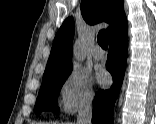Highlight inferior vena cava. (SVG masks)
<instances>
[{"label": "inferior vena cava", "mask_w": 156, "mask_h": 124, "mask_svg": "<svg viewBox=\"0 0 156 124\" xmlns=\"http://www.w3.org/2000/svg\"><path fill=\"white\" fill-rule=\"evenodd\" d=\"M92 102L93 96H89L85 99L78 111L77 123L76 124H91L92 123Z\"/></svg>", "instance_id": "inferior-vena-cava-1"}]
</instances>
